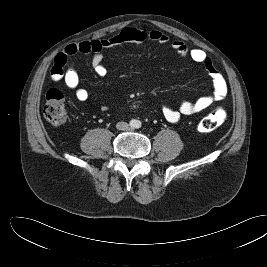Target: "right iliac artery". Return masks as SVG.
<instances>
[{"instance_id":"right-iliac-artery-1","label":"right iliac artery","mask_w":267,"mask_h":267,"mask_svg":"<svg viewBox=\"0 0 267 267\" xmlns=\"http://www.w3.org/2000/svg\"><path fill=\"white\" fill-rule=\"evenodd\" d=\"M130 125H131V126H134V123L132 122V123H130Z\"/></svg>"}]
</instances>
